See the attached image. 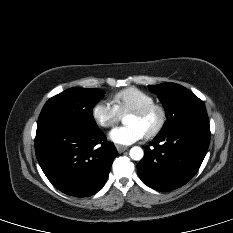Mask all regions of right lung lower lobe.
<instances>
[{
	"mask_svg": "<svg viewBox=\"0 0 233 233\" xmlns=\"http://www.w3.org/2000/svg\"><path fill=\"white\" fill-rule=\"evenodd\" d=\"M35 153L54 187L82 198L104 186L117 149L97 126L54 120L38 124Z\"/></svg>",
	"mask_w": 233,
	"mask_h": 233,
	"instance_id": "obj_1",
	"label": "right lung lower lobe"
}]
</instances>
